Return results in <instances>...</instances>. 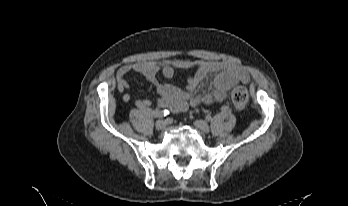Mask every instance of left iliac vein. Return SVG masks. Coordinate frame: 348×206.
I'll list each match as a JSON object with an SVG mask.
<instances>
[{
    "label": "left iliac vein",
    "instance_id": "4c4485c4",
    "mask_svg": "<svg viewBox=\"0 0 348 206\" xmlns=\"http://www.w3.org/2000/svg\"><path fill=\"white\" fill-rule=\"evenodd\" d=\"M194 126L204 133H208L210 131L209 125L203 120H196L194 122Z\"/></svg>",
    "mask_w": 348,
    "mask_h": 206
}]
</instances>
